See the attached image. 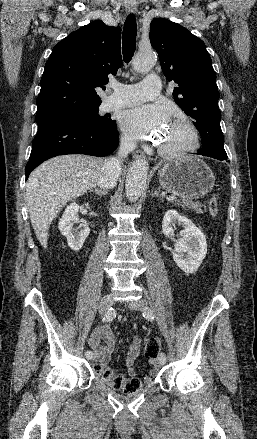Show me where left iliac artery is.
<instances>
[{
	"instance_id": "obj_1",
	"label": "left iliac artery",
	"mask_w": 257,
	"mask_h": 439,
	"mask_svg": "<svg viewBox=\"0 0 257 439\" xmlns=\"http://www.w3.org/2000/svg\"><path fill=\"white\" fill-rule=\"evenodd\" d=\"M143 316L148 320H154V315L152 310L149 307H145L143 310ZM158 359L160 361H166V355L164 353H160Z\"/></svg>"
}]
</instances>
